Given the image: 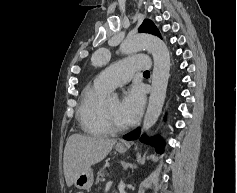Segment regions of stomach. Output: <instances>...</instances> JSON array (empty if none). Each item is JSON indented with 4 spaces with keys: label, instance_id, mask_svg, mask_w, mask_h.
Masks as SVG:
<instances>
[{
    "label": "stomach",
    "instance_id": "0dacf381",
    "mask_svg": "<svg viewBox=\"0 0 237 193\" xmlns=\"http://www.w3.org/2000/svg\"><path fill=\"white\" fill-rule=\"evenodd\" d=\"M116 151L119 153H124L126 151V146L117 144L115 147ZM94 181L93 170L91 167L84 169L74 181L75 186L78 189L88 190L91 188Z\"/></svg>",
    "mask_w": 237,
    "mask_h": 193
}]
</instances>
